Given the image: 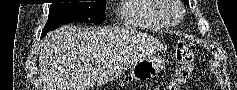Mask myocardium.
<instances>
[{
    "mask_svg": "<svg viewBox=\"0 0 237 90\" xmlns=\"http://www.w3.org/2000/svg\"><path fill=\"white\" fill-rule=\"evenodd\" d=\"M164 17L163 22L168 25L169 27H177L182 22V12H174V14H164L162 15Z\"/></svg>",
    "mask_w": 237,
    "mask_h": 90,
    "instance_id": "myocardium-1",
    "label": "myocardium"
}]
</instances>
